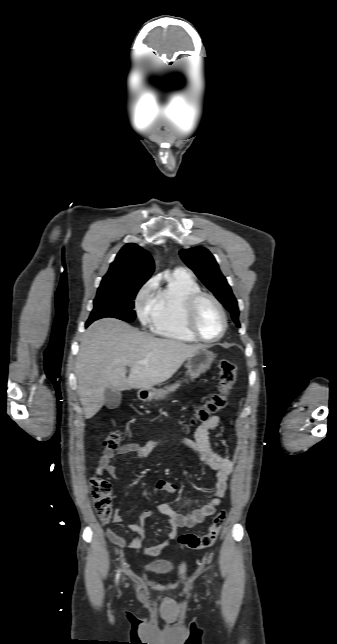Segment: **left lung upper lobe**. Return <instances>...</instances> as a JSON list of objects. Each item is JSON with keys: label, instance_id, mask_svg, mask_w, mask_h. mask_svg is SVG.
Masks as SVG:
<instances>
[{"label": "left lung upper lobe", "instance_id": "left-lung-upper-lobe-1", "mask_svg": "<svg viewBox=\"0 0 337 644\" xmlns=\"http://www.w3.org/2000/svg\"><path fill=\"white\" fill-rule=\"evenodd\" d=\"M180 256L185 264L195 272L205 286L213 292L216 298L231 313L236 326L240 327L237 300L225 277L220 272L214 256L202 247L182 249Z\"/></svg>", "mask_w": 337, "mask_h": 644}]
</instances>
